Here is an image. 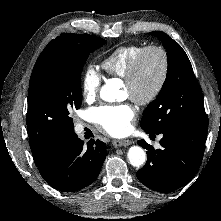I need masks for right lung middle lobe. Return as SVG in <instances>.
<instances>
[{
  "label": "right lung middle lobe",
  "mask_w": 221,
  "mask_h": 221,
  "mask_svg": "<svg viewBox=\"0 0 221 221\" xmlns=\"http://www.w3.org/2000/svg\"><path fill=\"white\" fill-rule=\"evenodd\" d=\"M105 40L75 34L40 54L29 83L27 127L43 135L74 133L70 111L82 104L81 72L88 55Z\"/></svg>",
  "instance_id": "obj_1"
}]
</instances>
